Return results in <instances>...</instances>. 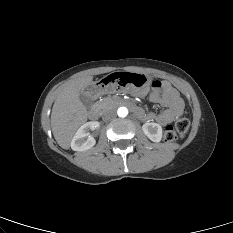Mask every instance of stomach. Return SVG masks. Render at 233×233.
<instances>
[{
    "instance_id": "1",
    "label": "stomach",
    "mask_w": 233,
    "mask_h": 233,
    "mask_svg": "<svg viewBox=\"0 0 233 233\" xmlns=\"http://www.w3.org/2000/svg\"><path fill=\"white\" fill-rule=\"evenodd\" d=\"M152 79L144 73L134 71L120 72L114 74H105L101 78L100 85H94L98 95L110 93L123 87H143L151 83Z\"/></svg>"
}]
</instances>
